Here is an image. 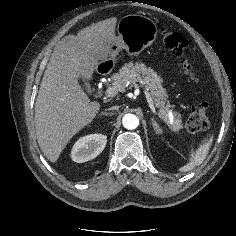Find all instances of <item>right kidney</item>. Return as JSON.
<instances>
[{
  "label": "right kidney",
  "instance_id": "right-kidney-1",
  "mask_svg": "<svg viewBox=\"0 0 236 236\" xmlns=\"http://www.w3.org/2000/svg\"><path fill=\"white\" fill-rule=\"evenodd\" d=\"M106 143L107 137L102 134H91L82 137L74 144L71 158L77 163L92 160L104 150Z\"/></svg>",
  "mask_w": 236,
  "mask_h": 236
}]
</instances>
